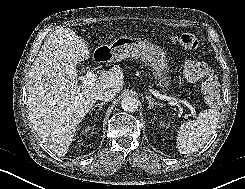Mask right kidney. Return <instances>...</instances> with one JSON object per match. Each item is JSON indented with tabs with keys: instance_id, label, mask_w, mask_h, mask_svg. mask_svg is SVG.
Listing matches in <instances>:
<instances>
[{
	"instance_id": "obj_1",
	"label": "right kidney",
	"mask_w": 245,
	"mask_h": 189,
	"mask_svg": "<svg viewBox=\"0 0 245 189\" xmlns=\"http://www.w3.org/2000/svg\"><path fill=\"white\" fill-rule=\"evenodd\" d=\"M92 128H93V126L87 125V126L85 127V131L87 132V131H89V130L92 129Z\"/></svg>"
}]
</instances>
